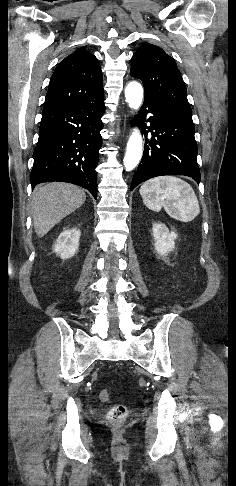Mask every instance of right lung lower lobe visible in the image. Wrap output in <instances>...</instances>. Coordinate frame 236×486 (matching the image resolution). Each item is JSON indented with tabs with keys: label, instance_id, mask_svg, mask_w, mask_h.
<instances>
[{
	"label": "right lung lower lobe",
	"instance_id": "1",
	"mask_svg": "<svg viewBox=\"0 0 236 486\" xmlns=\"http://www.w3.org/2000/svg\"><path fill=\"white\" fill-rule=\"evenodd\" d=\"M104 112L102 98L42 114L30 174L32 188L43 182L62 181L79 185L97 198L95 168L102 146Z\"/></svg>",
	"mask_w": 236,
	"mask_h": 486
}]
</instances>
